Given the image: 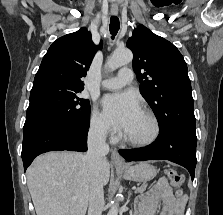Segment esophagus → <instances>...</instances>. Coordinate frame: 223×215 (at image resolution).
Instances as JSON below:
<instances>
[{"label": "esophagus", "instance_id": "1", "mask_svg": "<svg viewBox=\"0 0 223 215\" xmlns=\"http://www.w3.org/2000/svg\"><path fill=\"white\" fill-rule=\"evenodd\" d=\"M111 13L112 15H117L118 14V9H111ZM111 162L117 166V167H123L126 165L125 160L120 156V154L118 153V150L114 149L112 150L111 153Z\"/></svg>", "mask_w": 223, "mask_h": 215}]
</instances>
